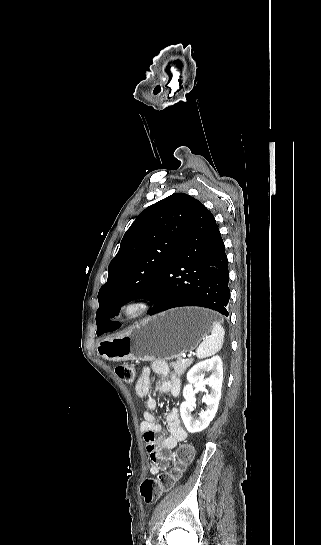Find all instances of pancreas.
<instances>
[{
    "mask_svg": "<svg viewBox=\"0 0 321 545\" xmlns=\"http://www.w3.org/2000/svg\"><path fill=\"white\" fill-rule=\"evenodd\" d=\"M193 361L194 359H188V361H184V359H178L176 363H170V367H173L174 373L181 377V375L185 373L186 369H188V367L192 365Z\"/></svg>",
    "mask_w": 321,
    "mask_h": 545,
    "instance_id": "obj_1",
    "label": "pancreas"
}]
</instances>
